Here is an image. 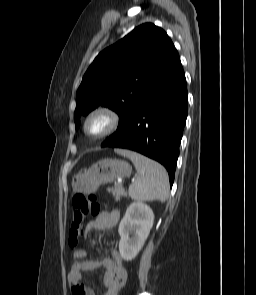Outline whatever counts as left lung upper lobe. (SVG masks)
Wrapping results in <instances>:
<instances>
[{
	"mask_svg": "<svg viewBox=\"0 0 256 295\" xmlns=\"http://www.w3.org/2000/svg\"><path fill=\"white\" fill-rule=\"evenodd\" d=\"M179 64V54L163 29L151 23L138 26L100 52L86 71L76 94V129L80 116L99 105L119 115V128Z\"/></svg>",
	"mask_w": 256,
	"mask_h": 295,
	"instance_id": "left-lung-upper-lobe-1",
	"label": "left lung upper lobe"
}]
</instances>
